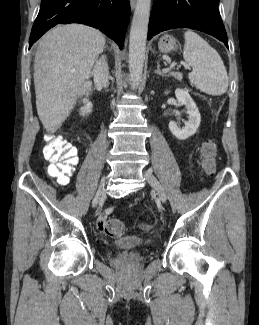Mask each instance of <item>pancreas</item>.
I'll return each instance as SVG.
<instances>
[{
    "label": "pancreas",
    "instance_id": "cf45deb5",
    "mask_svg": "<svg viewBox=\"0 0 259 325\" xmlns=\"http://www.w3.org/2000/svg\"><path fill=\"white\" fill-rule=\"evenodd\" d=\"M170 75L175 77L179 81H181L183 79V75L181 73H178V72H171Z\"/></svg>",
    "mask_w": 259,
    "mask_h": 325
}]
</instances>
